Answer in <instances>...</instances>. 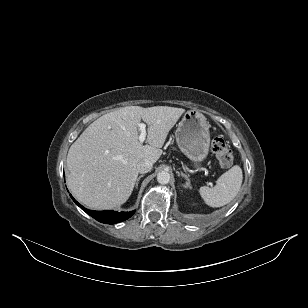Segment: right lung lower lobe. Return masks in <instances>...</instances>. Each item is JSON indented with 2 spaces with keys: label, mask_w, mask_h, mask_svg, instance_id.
Here are the masks:
<instances>
[{
  "label": "right lung lower lobe",
  "mask_w": 308,
  "mask_h": 308,
  "mask_svg": "<svg viewBox=\"0 0 308 308\" xmlns=\"http://www.w3.org/2000/svg\"><path fill=\"white\" fill-rule=\"evenodd\" d=\"M71 196V195H70ZM71 198L73 201L87 214L92 216L94 219L101 223L105 224H115L121 221H124L128 218H130L135 211L131 212H115V211H93V210H88L81 206L72 196Z\"/></svg>",
  "instance_id": "1"
}]
</instances>
